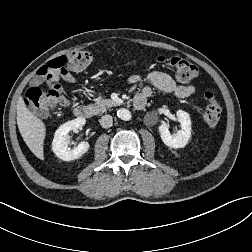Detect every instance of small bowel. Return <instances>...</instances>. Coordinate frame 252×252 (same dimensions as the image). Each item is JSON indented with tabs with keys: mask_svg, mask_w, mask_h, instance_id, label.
Segmentation results:
<instances>
[{
	"mask_svg": "<svg viewBox=\"0 0 252 252\" xmlns=\"http://www.w3.org/2000/svg\"><path fill=\"white\" fill-rule=\"evenodd\" d=\"M60 77L66 82L75 84L76 78L67 70H64ZM145 78L149 84L145 85L140 93H138L134 100L145 101L153 95V87L167 95H173L177 98H187L195 92V87L191 84H177L168 74L160 71H151L147 73ZM143 79L140 75H135L130 78L132 84L137 83ZM67 103L64 105L66 106Z\"/></svg>",
	"mask_w": 252,
	"mask_h": 252,
	"instance_id": "obj_1",
	"label": "small bowel"
}]
</instances>
